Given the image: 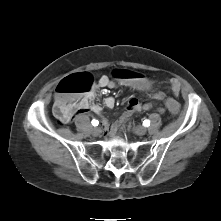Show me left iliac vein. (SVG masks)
Returning a JSON list of instances; mask_svg holds the SVG:
<instances>
[{
  "label": "left iliac vein",
  "mask_w": 221,
  "mask_h": 221,
  "mask_svg": "<svg viewBox=\"0 0 221 221\" xmlns=\"http://www.w3.org/2000/svg\"><path fill=\"white\" fill-rule=\"evenodd\" d=\"M132 131L139 136L145 135L147 133V129L142 126H134L132 127Z\"/></svg>",
  "instance_id": "4c4485c4"
}]
</instances>
